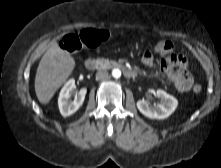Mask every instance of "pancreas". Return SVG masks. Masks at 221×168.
Segmentation results:
<instances>
[{"label": "pancreas", "instance_id": "cf45deb5", "mask_svg": "<svg viewBox=\"0 0 221 168\" xmlns=\"http://www.w3.org/2000/svg\"><path fill=\"white\" fill-rule=\"evenodd\" d=\"M96 63L100 69H110L112 67L117 66V62H115L113 60H109V59H104V58H102V59L98 58L96 60Z\"/></svg>", "mask_w": 221, "mask_h": 168}]
</instances>
